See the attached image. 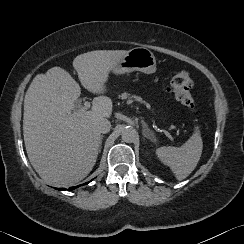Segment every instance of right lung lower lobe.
I'll use <instances>...</instances> for the list:
<instances>
[{
  "label": "right lung lower lobe",
  "mask_w": 244,
  "mask_h": 244,
  "mask_svg": "<svg viewBox=\"0 0 244 244\" xmlns=\"http://www.w3.org/2000/svg\"><path fill=\"white\" fill-rule=\"evenodd\" d=\"M89 182H87V183H85V184H88ZM76 187H79V186H76ZM76 187H70L68 190L70 191V190H73V189H75ZM58 190H66V188H58Z\"/></svg>",
  "instance_id": "1"
}]
</instances>
